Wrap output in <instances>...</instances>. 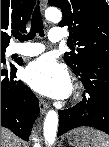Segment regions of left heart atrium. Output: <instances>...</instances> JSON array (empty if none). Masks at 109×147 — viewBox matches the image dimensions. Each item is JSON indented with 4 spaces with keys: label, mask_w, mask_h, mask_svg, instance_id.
I'll return each mask as SVG.
<instances>
[{
    "label": "left heart atrium",
    "mask_w": 109,
    "mask_h": 147,
    "mask_svg": "<svg viewBox=\"0 0 109 147\" xmlns=\"http://www.w3.org/2000/svg\"><path fill=\"white\" fill-rule=\"evenodd\" d=\"M24 77L34 90L54 99H64L72 91L69 71L51 55L30 63Z\"/></svg>",
    "instance_id": "1"
}]
</instances>
